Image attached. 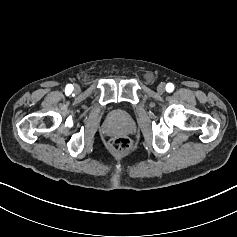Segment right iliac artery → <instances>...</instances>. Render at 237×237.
Wrapping results in <instances>:
<instances>
[{"label":"right iliac artery","mask_w":237,"mask_h":237,"mask_svg":"<svg viewBox=\"0 0 237 237\" xmlns=\"http://www.w3.org/2000/svg\"><path fill=\"white\" fill-rule=\"evenodd\" d=\"M73 89V85L68 84L65 89L66 95H69L73 91Z\"/></svg>","instance_id":"right-iliac-artery-1"}]
</instances>
